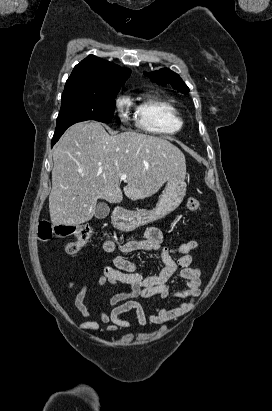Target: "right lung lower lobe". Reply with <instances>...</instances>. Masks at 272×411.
I'll list each match as a JSON object with an SVG mask.
<instances>
[{
  "label": "right lung lower lobe",
  "instance_id": "98d812e1",
  "mask_svg": "<svg viewBox=\"0 0 272 411\" xmlns=\"http://www.w3.org/2000/svg\"><path fill=\"white\" fill-rule=\"evenodd\" d=\"M59 138H60V136L55 137V138L52 139V142H51L52 146L59 140Z\"/></svg>",
  "mask_w": 272,
  "mask_h": 411
}]
</instances>
